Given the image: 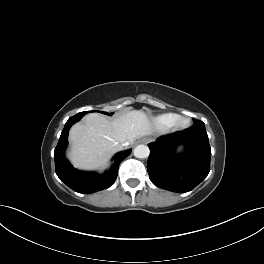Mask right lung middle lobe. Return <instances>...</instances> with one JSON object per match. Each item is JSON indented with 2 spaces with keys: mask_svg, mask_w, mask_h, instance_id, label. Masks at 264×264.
I'll use <instances>...</instances> for the list:
<instances>
[{
  "mask_svg": "<svg viewBox=\"0 0 264 264\" xmlns=\"http://www.w3.org/2000/svg\"><path fill=\"white\" fill-rule=\"evenodd\" d=\"M88 112H90V111H88ZM87 111L86 112H80V113H78V115H85L86 113H88ZM102 114H106V115H111L112 113H107V112H101Z\"/></svg>",
  "mask_w": 264,
  "mask_h": 264,
  "instance_id": "dd1d6c3e",
  "label": "right lung middle lobe"
}]
</instances>
